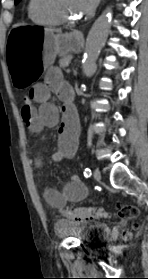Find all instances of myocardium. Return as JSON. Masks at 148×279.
Listing matches in <instances>:
<instances>
[{"label": "myocardium", "instance_id": "f54148a6", "mask_svg": "<svg viewBox=\"0 0 148 279\" xmlns=\"http://www.w3.org/2000/svg\"><path fill=\"white\" fill-rule=\"evenodd\" d=\"M46 11L52 15L60 23H74L78 20L77 17L66 15L60 5L59 0H42Z\"/></svg>", "mask_w": 148, "mask_h": 279}]
</instances>
